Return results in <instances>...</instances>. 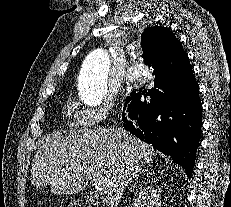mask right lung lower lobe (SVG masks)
Listing matches in <instances>:
<instances>
[{
  "instance_id": "1",
  "label": "right lung lower lobe",
  "mask_w": 231,
  "mask_h": 207,
  "mask_svg": "<svg viewBox=\"0 0 231 207\" xmlns=\"http://www.w3.org/2000/svg\"><path fill=\"white\" fill-rule=\"evenodd\" d=\"M154 28L145 29L141 40ZM153 70L154 88L133 91L127 97L122 113L124 127L170 156L190 178L202 127L197 81L191 65L177 70Z\"/></svg>"
}]
</instances>
